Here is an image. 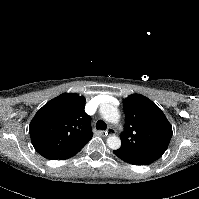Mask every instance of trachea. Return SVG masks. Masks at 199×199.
<instances>
[{"mask_svg": "<svg viewBox=\"0 0 199 199\" xmlns=\"http://www.w3.org/2000/svg\"><path fill=\"white\" fill-rule=\"evenodd\" d=\"M96 128H97L98 130H106L107 125H106V123H105L104 121L99 120V121H97V123H96Z\"/></svg>", "mask_w": 199, "mask_h": 199, "instance_id": "trachea-1", "label": "trachea"}]
</instances>
